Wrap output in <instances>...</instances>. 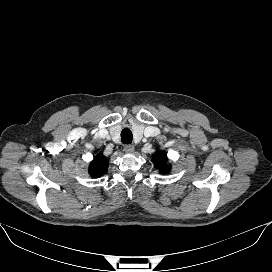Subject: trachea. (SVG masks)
I'll return each mask as SVG.
<instances>
[{
	"instance_id": "trachea-1",
	"label": "trachea",
	"mask_w": 272,
	"mask_h": 272,
	"mask_svg": "<svg viewBox=\"0 0 272 272\" xmlns=\"http://www.w3.org/2000/svg\"><path fill=\"white\" fill-rule=\"evenodd\" d=\"M121 140L124 144H131L132 143V132L130 129L125 128L121 132Z\"/></svg>"
}]
</instances>
